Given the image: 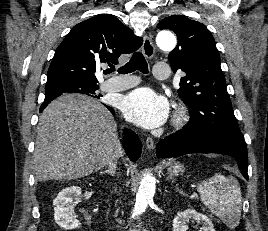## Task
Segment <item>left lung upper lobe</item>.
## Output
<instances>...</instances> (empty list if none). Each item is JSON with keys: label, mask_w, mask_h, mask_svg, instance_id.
Instances as JSON below:
<instances>
[{"label": "left lung upper lobe", "mask_w": 268, "mask_h": 231, "mask_svg": "<svg viewBox=\"0 0 268 231\" xmlns=\"http://www.w3.org/2000/svg\"><path fill=\"white\" fill-rule=\"evenodd\" d=\"M157 27L173 30L178 38L177 46L169 53V62L174 72L181 69L186 73L178 93L191 108V119L183 128L246 145L226 89L220 55L206 26L172 15Z\"/></svg>", "instance_id": "1"}]
</instances>
